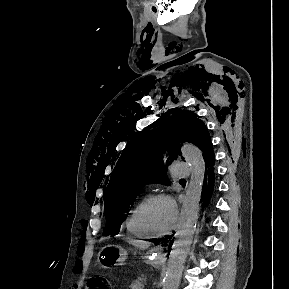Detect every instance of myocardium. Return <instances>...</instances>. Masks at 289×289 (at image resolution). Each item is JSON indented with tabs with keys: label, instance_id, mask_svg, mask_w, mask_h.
<instances>
[{
	"label": "myocardium",
	"instance_id": "f54148a6",
	"mask_svg": "<svg viewBox=\"0 0 289 289\" xmlns=\"http://www.w3.org/2000/svg\"><path fill=\"white\" fill-rule=\"evenodd\" d=\"M157 200H167L171 203L172 207H173V211H174V219L172 224L170 225V227L168 229H166L165 231H161V232H157L154 231L152 229H150L144 220V215L146 210L148 209V207L155 201ZM178 210H177V206L174 202V200L171 198V196H169L166 193H155L152 194L148 197H146V199L144 200V202L142 203V205L140 206L139 210H138V214H137V221L138 224L140 226V228L150 237H163L166 235H169L177 226L178 223Z\"/></svg>",
	"mask_w": 289,
	"mask_h": 289
}]
</instances>
